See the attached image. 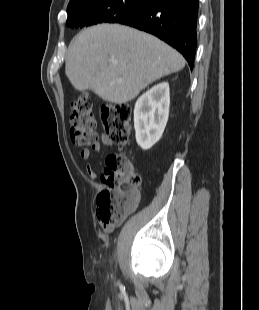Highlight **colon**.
Returning a JSON list of instances; mask_svg holds the SVG:
<instances>
[{"label": "colon", "instance_id": "colon-1", "mask_svg": "<svg viewBox=\"0 0 259 310\" xmlns=\"http://www.w3.org/2000/svg\"><path fill=\"white\" fill-rule=\"evenodd\" d=\"M101 117L106 136L114 143H125L130 132L131 107L106 105L101 110ZM70 138L77 146L93 147L98 143L93 103L86 94L72 102ZM101 181L105 188L97 197V218L102 225H118L139 202L137 189L141 178L127 156L110 154L106 157Z\"/></svg>", "mask_w": 259, "mask_h": 310}]
</instances>
